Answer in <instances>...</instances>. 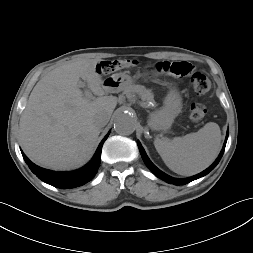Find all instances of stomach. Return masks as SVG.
Here are the masks:
<instances>
[{
  "mask_svg": "<svg viewBox=\"0 0 253 253\" xmlns=\"http://www.w3.org/2000/svg\"><path fill=\"white\" fill-rule=\"evenodd\" d=\"M157 75V72L150 67L145 68L144 80L151 79ZM134 79L127 73L120 72L110 76L104 85L110 91H121L132 85ZM182 97L176 87H170L164 99V105L153 112L148 119V124L152 130L167 131L172 126L175 117L181 112Z\"/></svg>",
  "mask_w": 253,
  "mask_h": 253,
  "instance_id": "1",
  "label": "stomach"
}]
</instances>
